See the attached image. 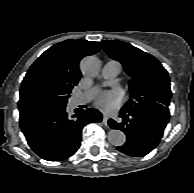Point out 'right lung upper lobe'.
<instances>
[{
	"label": "right lung upper lobe",
	"instance_id": "1",
	"mask_svg": "<svg viewBox=\"0 0 194 193\" xmlns=\"http://www.w3.org/2000/svg\"><path fill=\"white\" fill-rule=\"evenodd\" d=\"M100 49V42L82 39H70L52 46L28 70L21 84L19 103L32 99L42 88L57 86L72 89L80 80V60Z\"/></svg>",
	"mask_w": 194,
	"mask_h": 193
}]
</instances>
